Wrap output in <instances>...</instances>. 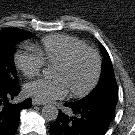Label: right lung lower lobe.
Here are the masks:
<instances>
[{"label":"right lung lower lobe","mask_w":135,"mask_h":135,"mask_svg":"<svg viewBox=\"0 0 135 135\" xmlns=\"http://www.w3.org/2000/svg\"><path fill=\"white\" fill-rule=\"evenodd\" d=\"M19 92V85L10 90L0 91V135H14L18 128L20 111L31 107L30 98L18 104L9 102Z\"/></svg>","instance_id":"98d812e1"}]
</instances>
